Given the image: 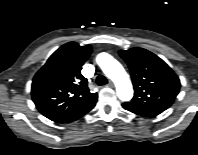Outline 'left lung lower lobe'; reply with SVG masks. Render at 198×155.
Returning a JSON list of instances; mask_svg holds the SVG:
<instances>
[{"label": "left lung lower lobe", "mask_w": 198, "mask_h": 155, "mask_svg": "<svg viewBox=\"0 0 198 155\" xmlns=\"http://www.w3.org/2000/svg\"><path fill=\"white\" fill-rule=\"evenodd\" d=\"M123 107H124L126 110H129V109H127L124 105H123ZM129 111H131V112H133V113H136V114H138V115L147 116V117L155 116V115H150V114L138 113V112H135V111H133V110H129Z\"/></svg>", "instance_id": "left-lung-lower-lobe-1"}]
</instances>
